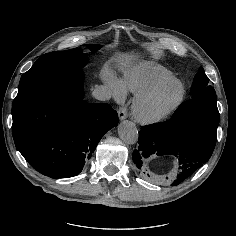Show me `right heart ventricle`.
Segmentation results:
<instances>
[{"instance_id": "obj_1", "label": "right heart ventricle", "mask_w": 236, "mask_h": 236, "mask_svg": "<svg viewBox=\"0 0 236 236\" xmlns=\"http://www.w3.org/2000/svg\"><path fill=\"white\" fill-rule=\"evenodd\" d=\"M174 78L169 69L152 61H139L123 71L122 83L130 93L137 94L152 84Z\"/></svg>"}]
</instances>
